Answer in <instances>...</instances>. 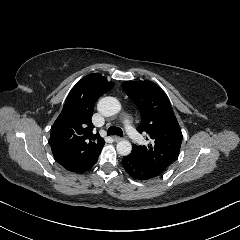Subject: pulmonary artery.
<instances>
[{
    "label": "pulmonary artery",
    "instance_id": "1",
    "mask_svg": "<svg viewBox=\"0 0 240 240\" xmlns=\"http://www.w3.org/2000/svg\"><path fill=\"white\" fill-rule=\"evenodd\" d=\"M121 123L124 125V129L127 130V133L130 135V137L133 138L139 146H142L146 142V137L137 133L133 126L128 123L126 118H123Z\"/></svg>",
    "mask_w": 240,
    "mask_h": 240
}]
</instances>
